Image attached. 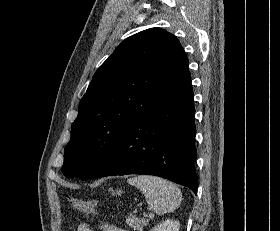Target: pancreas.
I'll return each mask as SVG.
<instances>
[{
    "label": "pancreas",
    "mask_w": 280,
    "mask_h": 231,
    "mask_svg": "<svg viewBox=\"0 0 280 231\" xmlns=\"http://www.w3.org/2000/svg\"><path fill=\"white\" fill-rule=\"evenodd\" d=\"M149 219H144V217H126V223H128L129 227H133V229H137V231H142L143 225H147Z\"/></svg>",
    "instance_id": "1"
}]
</instances>
